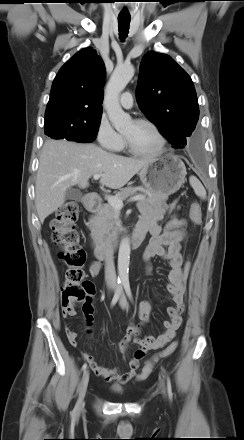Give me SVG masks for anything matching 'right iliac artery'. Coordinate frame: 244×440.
<instances>
[{
  "mask_svg": "<svg viewBox=\"0 0 244 440\" xmlns=\"http://www.w3.org/2000/svg\"><path fill=\"white\" fill-rule=\"evenodd\" d=\"M122 286H123V283L118 282V286H117L116 292H115V294L113 296V299L111 301V306H114L117 303V301H118V299L120 297V293L122 292ZM86 368H87V364L84 363L83 366H82V371H84ZM75 411H76V408L74 409V412Z\"/></svg>",
  "mask_w": 244,
  "mask_h": 440,
  "instance_id": "82829eb1",
  "label": "right iliac artery"
}]
</instances>
